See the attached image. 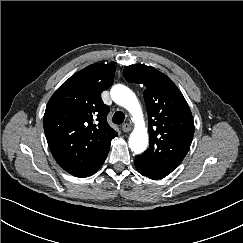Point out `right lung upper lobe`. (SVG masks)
Segmentation results:
<instances>
[{"label": "right lung upper lobe", "instance_id": "1", "mask_svg": "<svg viewBox=\"0 0 243 243\" xmlns=\"http://www.w3.org/2000/svg\"><path fill=\"white\" fill-rule=\"evenodd\" d=\"M116 66L92 64L66 80L50 98L44 132L57 163L76 177L95 173L118 134L107 123L101 93L113 83Z\"/></svg>", "mask_w": 243, "mask_h": 243}]
</instances>
